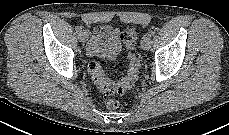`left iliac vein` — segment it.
Here are the masks:
<instances>
[{"mask_svg":"<svg viewBox=\"0 0 229 135\" xmlns=\"http://www.w3.org/2000/svg\"><path fill=\"white\" fill-rule=\"evenodd\" d=\"M152 45V39L150 36H145L143 37L142 41H141V47L144 49V50H148L150 49Z\"/></svg>","mask_w":229,"mask_h":135,"instance_id":"obj_1","label":"left iliac vein"}]
</instances>
